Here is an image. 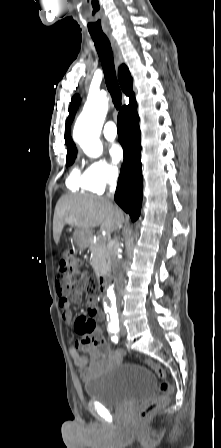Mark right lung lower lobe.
I'll return each instance as SVG.
<instances>
[{"label":"right lung lower lobe","mask_w":221,"mask_h":448,"mask_svg":"<svg viewBox=\"0 0 221 448\" xmlns=\"http://www.w3.org/2000/svg\"><path fill=\"white\" fill-rule=\"evenodd\" d=\"M118 135L124 150L115 201L133 221L140 215L143 193L141 143L136 101L122 107L118 114Z\"/></svg>","instance_id":"98d812e1"}]
</instances>
